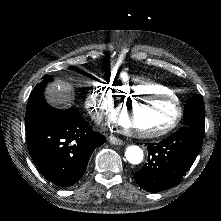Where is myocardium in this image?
Wrapping results in <instances>:
<instances>
[{
    "mask_svg": "<svg viewBox=\"0 0 221 221\" xmlns=\"http://www.w3.org/2000/svg\"><path fill=\"white\" fill-rule=\"evenodd\" d=\"M154 100V101H162V102H168L171 105V113L170 115H168L167 119L164 120V122H160L158 123V125H154V126H150L148 128H146L144 131H140V130H131L130 128H127L124 125H121L118 122L117 119V110H119V108H123L126 105H138L141 102H146L149 100ZM178 102L176 101V99L173 96H170L168 94H164V93H159V92H154V93H147L145 91H143L142 93H139L137 95L131 96L129 98H125L123 99H118L117 101H114L112 103V106L110 108L109 111V123L112 124V128L114 129V131L117 132V134L122 135V136H131V137H141L144 138L145 136H147L148 139H155L158 137H162L163 135L167 134L168 132H170V130L172 129L173 126L176 125L177 121H178V113H179V108H178ZM171 133V132H170Z\"/></svg>",
    "mask_w": 221,
    "mask_h": 221,
    "instance_id": "f54148a6",
    "label": "myocardium"
}]
</instances>
